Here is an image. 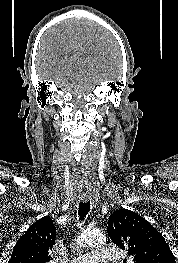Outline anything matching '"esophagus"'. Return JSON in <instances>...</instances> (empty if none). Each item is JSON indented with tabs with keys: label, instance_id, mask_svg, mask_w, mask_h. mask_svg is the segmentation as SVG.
Returning <instances> with one entry per match:
<instances>
[{
	"label": "esophagus",
	"instance_id": "34e87169",
	"mask_svg": "<svg viewBox=\"0 0 178 263\" xmlns=\"http://www.w3.org/2000/svg\"><path fill=\"white\" fill-rule=\"evenodd\" d=\"M83 200H84V201H86V200H87V197H86V196H84V197H83Z\"/></svg>",
	"mask_w": 178,
	"mask_h": 263
}]
</instances>
